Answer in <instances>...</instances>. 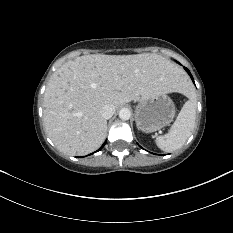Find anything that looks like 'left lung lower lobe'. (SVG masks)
<instances>
[{
	"instance_id": "left-lung-lower-lobe-1",
	"label": "left lung lower lobe",
	"mask_w": 233,
	"mask_h": 233,
	"mask_svg": "<svg viewBox=\"0 0 233 233\" xmlns=\"http://www.w3.org/2000/svg\"><path fill=\"white\" fill-rule=\"evenodd\" d=\"M184 69H185V70H186V72L190 75V77H191L192 81L194 82L193 77H192V75H191L190 71H189L186 67H184Z\"/></svg>"
}]
</instances>
